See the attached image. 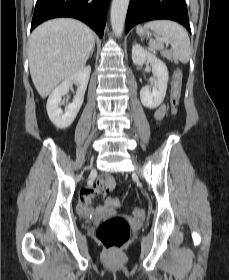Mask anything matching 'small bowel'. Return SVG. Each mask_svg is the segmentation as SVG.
<instances>
[{"label": "small bowel", "instance_id": "small-bowel-1", "mask_svg": "<svg viewBox=\"0 0 229 280\" xmlns=\"http://www.w3.org/2000/svg\"><path fill=\"white\" fill-rule=\"evenodd\" d=\"M166 113V106L160 105L154 111V118L156 120H160L164 117ZM99 194L104 195L105 197V205L104 206H92V199ZM108 190L102 189L99 185L94 184L88 189L82 192V196L80 198V203L78 206V211L81 216L88 217H101L107 214H112L115 212L118 205L114 204V201L117 199L113 196H108Z\"/></svg>", "mask_w": 229, "mask_h": 280}]
</instances>
